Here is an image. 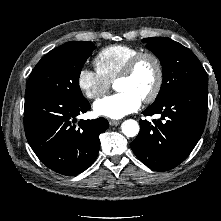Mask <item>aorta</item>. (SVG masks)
Wrapping results in <instances>:
<instances>
[{"label": "aorta", "mask_w": 221, "mask_h": 221, "mask_svg": "<svg viewBox=\"0 0 221 221\" xmlns=\"http://www.w3.org/2000/svg\"><path fill=\"white\" fill-rule=\"evenodd\" d=\"M139 130L140 127L138 122L132 119L125 120L121 125V131L127 137H134L138 135Z\"/></svg>", "instance_id": "obj_1"}]
</instances>
